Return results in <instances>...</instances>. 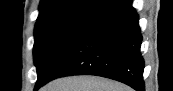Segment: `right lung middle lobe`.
Masks as SVG:
<instances>
[{"instance_id":"dd1d6c3e","label":"right lung middle lobe","mask_w":173,"mask_h":91,"mask_svg":"<svg viewBox=\"0 0 173 91\" xmlns=\"http://www.w3.org/2000/svg\"><path fill=\"white\" fill-rule=\"evenodd\" d=\"M109 5L110 1H105ZM85 19H69L35 26L34 62L37 67L36 85L49 75L53 65L84 25Z\"/></svg>"}]
</instances>
